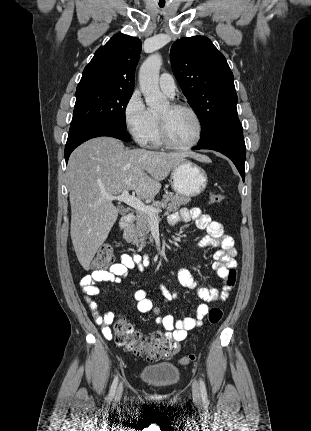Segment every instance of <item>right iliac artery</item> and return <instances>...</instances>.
<instances>
[{
    "instance_id": "1",
    "label": "right iliac artery",
    "mask_w": 311,
    "mask_h": 431,
    "mask_svg": "<svg viewBox=\"0 0 311 431\" xmlns=\"http://www.w3.org/2000/svg\"><path fill=\"white\" fill-rule=\"evenodd\" d=\"M117 383H118V376H116L114 378L113 383L111 385L110 392H109V395H108L109 399H112L114 397V394H115V391H116V387H117Z\"/></svg>"
}]
</instances>
